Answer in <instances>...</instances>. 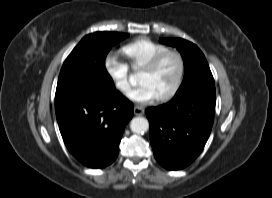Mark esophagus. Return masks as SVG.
I'll list each match as a JSON object with an SVG mask.
<instances>
[{"instance_id":"34e87169","label":"esophagus","mask_w":272,"mask_h":198,"mask_svg":"<svg viewBox=\"0 0 272 198\" xmlns=\"http://www.w3.org/2000/svg\"><path fill=\"white\" fill-rule=\"evenodd\" d=\"M133 112L136 116H142L144 114V109L142 107L135 106Z\"/></svg>"}]
</instances>
